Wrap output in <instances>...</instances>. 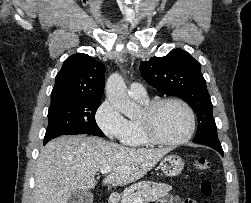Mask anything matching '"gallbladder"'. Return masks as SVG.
<instances>
[{
	"label": "gallbladder",
	"instance_id": "gallbladder-1",
	"mask_svg": "<svg viewBox=\"0 0 251 203\" xmlns=\"http://www.w3.org/2000/svg\"><path fill=\"white\" fill-rule=\"evenodd\" d=\"M93 194L89 191H75L68 200V203H92Z\"/></svg>",
	"mask_w": 251,
	"mask_h": 203
}]
</instances>
